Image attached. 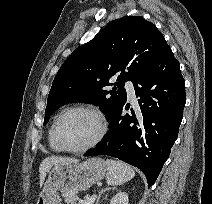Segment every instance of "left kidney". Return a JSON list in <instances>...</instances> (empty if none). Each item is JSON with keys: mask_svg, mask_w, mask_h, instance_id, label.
Here are the masks:
<instances>
[{"mask_svg": "<svg viewBox=\"0 0 212 204\" xmlns=\"http://www.w3.org/2000/svg\"><path fill=\"white\" fill-rule=\"evenodd\" d=\"M128 194L125 192L117 193L110 201V204H128Z\"/></svg>", "mask_w": 212, "mask_h": 204, "instance_id": "left-kidney-1", "label": "left kidney"}]
</instances>
